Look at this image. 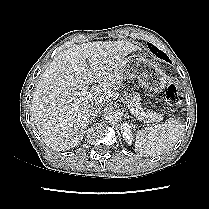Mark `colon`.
Instances as JSON below:
<instances>
[{"mask_svg": "<svg viewBox=\"0 0 209 209\" xmlns=\"http://www.w3.org/2000/svg\"><path fill=\"white\" fill-rule=\"evenodd\" d=\"M181 101L182 92L180 88L176 84L170 83L165 91V102L167 108L172 111L180 105Z\"/></svg>", "mask_w": 209, "mask_h": 209, "instance_id": "colon-1", "label": "colon"}]
</instances>
